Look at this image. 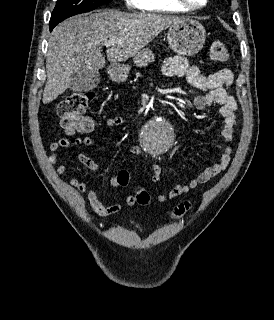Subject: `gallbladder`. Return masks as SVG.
<instances>
[{
    "mask_svg": "<svg viewBox=\"0 0 274 320\" xmlns=\"http://www.w3.org/2000/svg\"><path fill=\"white\" fill-rule=\"evenodd\" d=\"M100 82L97 68H75L73 78L68 79V89L73 92H88Z\"/></svg>",
    "mask_w": 274,
    "mask_h": 320,
    "instance_id": "bac80fb5",
    "label": "gallbladder"
}]
</instances>
